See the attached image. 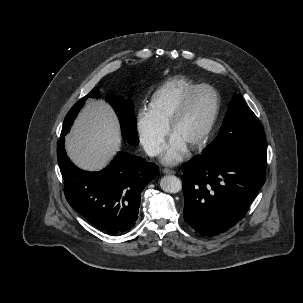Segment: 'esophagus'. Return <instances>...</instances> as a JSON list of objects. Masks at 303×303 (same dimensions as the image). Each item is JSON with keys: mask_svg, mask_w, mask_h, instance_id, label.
<instances>
[{"mask_svg": "<svg viewBox=\"0 0 303 303\" xmlns=\"http://www.w3.org/2000/svg\"><path fill=\"white\" fill-rule=\"evenodd\" d=\"M162 171H163V173H165V174H174V173H175L174 170L169 169V168H164Z\"/></svg>", "mask_w": 303, "mask_h": 303, "instance_id": "34e87169", "label": "esophagus"}]
</instances>
